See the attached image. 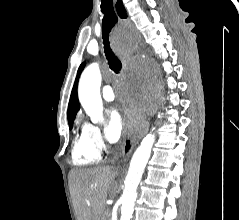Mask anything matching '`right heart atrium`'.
<instances>
[{"mask_svg": "<svg viewBox=\"0 0 239 220\" xmlns=\"http://www.w3.org/2000/svg\"><path fill=\"white\" fill-rule=\"evenodd\" d=\"M83 130L90 144L97 152L102 153L107 150L108 146L97 124L87 122L83 125Z\"/></svg>", "mask_w": 239, "mask_h": 220, "instance_id": "obj_1", "label": "right heart atrium"}]
</instances>
